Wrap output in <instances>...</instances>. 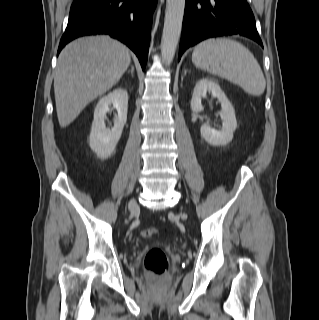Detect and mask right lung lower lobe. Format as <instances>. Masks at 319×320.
<instances>
[{
  "mask_svg": "<svg viewBox=\"0 0 319 320\" xmlns=\"http://www.w3.org/2000/svg\"><path fill=\"white\" fill-rule=\"evenodd\" d=\"M156 4L157 0H74L58 54L77 37L109 34L135 52L144 70Z\"/></svg>",
  "mask_w": 319,
  "mask_h": 320,
  "instance_id": "obj_1",
  "label": "right lung lower lobe"
}]
</instances>
